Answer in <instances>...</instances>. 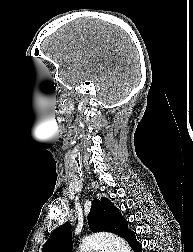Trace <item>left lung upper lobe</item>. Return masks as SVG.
<instances>
[{
    "label": "left lung upper lobe",
    "mask_w": 193,
    "mask_h": 252,
    "mask_svg": "<svg viewBox=\"0 0 193 252\" xmlns=\"http://www.w3.org/2000/svg\"><path fill=\"white\" fill-rule=\"evenodd\" d=\"M88 221L92 232L107 231L125 239L131 232L120 210L107 198L93 201ZM71 248V224L65 223L51 233L42 252H71Z\"/></svg>",
    "instance_id": "obj_1"
}]
</instances>
